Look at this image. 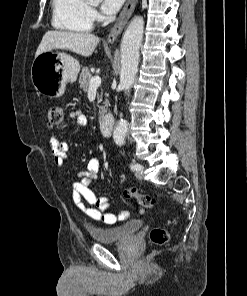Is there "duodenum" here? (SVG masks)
<instances>
[{"label": "duodenum", "instance_id": "duodenum-1", "mask_svg": "<svg viewBox=\"0 0 247 296\" xmlns=\"http://www.w3.org/2000/svg\"><path fill=\"white\" fill-rule=\"evenodd\" d=\"M101 134L110 137L114 129V118L111 115H104L99 120Z\"/></svg>", "mask_w": 247, "mask_h": 296}]
</instances>
